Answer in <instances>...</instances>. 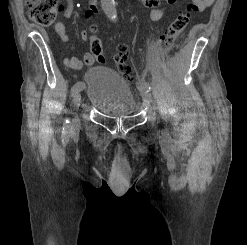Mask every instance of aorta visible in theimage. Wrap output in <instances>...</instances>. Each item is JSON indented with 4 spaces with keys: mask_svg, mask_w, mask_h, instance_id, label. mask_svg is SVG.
<instances>
[{
    "mask_svg": "<svg viewBox=\"0 0 247 245\" xmlns=\"http://www.w3.org/2000/svg\"><path fill=\"white\" fill-rule=\"evenodd\" d=\"M105 14L107 17L116 22L117 21V11L115 0H102Z\"/></svg>",
    "mask_w": 247,
    "mask_h": 245,
    "instance_id": "1",
    "label": "aorta"
}]
</instances>
